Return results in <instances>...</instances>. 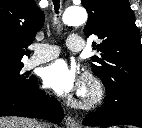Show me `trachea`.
<instances>
[{"mask_svg": "<svg viewBox=\"0 0 142 128\" xmlns=\"http://www.w3.org/2000/svg\"><path fill=\"white\" fill-rule=\"evenodd\" d=\"M53 4H54L55 12L58 13V10L60 8V0H53Z\"/></svg>", "mask_w": 142, "mask_h": 128, "instance_id": "obj_1", "label": "trachea"}]
</instances>
